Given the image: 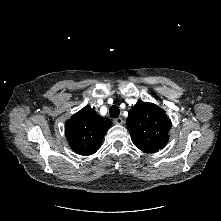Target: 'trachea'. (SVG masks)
I'll return each mask as SVG.
<instances>
[{"instance_id": "1", "label": "trachea", "mask_w": 221, "mask_h": 221, "mask_svg": "<svg viewBox=\"0 0 221 221\" xmlns=\"http://www.w3.org/2000/svg\"><path fill=\"white\" fill-rule=\"evenodd\" d=\"M109 114L112 118H118L120 114V110L117 106L113 105L109 109Z\"/></svg>"}]
</instances>
